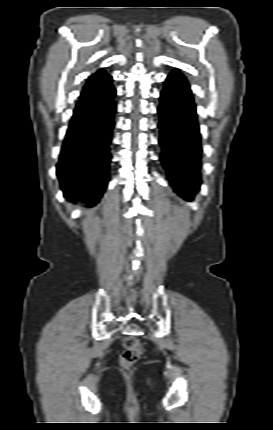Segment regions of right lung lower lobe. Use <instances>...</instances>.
Returning a JSON list of instances; mask_svg holds the SVG:
<instances>
[{"label": "right lung lower lobe", "mask_w": 273, "mask_h": 430, "mask_svg": "<svg viewBox=\"0 0 273 430\" xmlns=\"http://www.w3.org/2000/svg\"><path fill=\"white\" fill-rule=\"evenodd\" d=\"M107 75L86 83L62 145L57 175L64 196L96 205L109 177L116 90Z\"/></svg>", "instance_id": "obj_1"}]
</instances>
